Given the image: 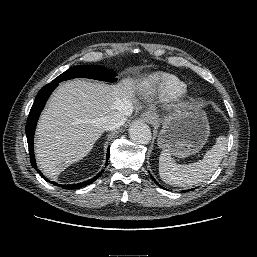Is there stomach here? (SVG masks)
I'll return each instance as SVG.
<instances>
[{"label": "stomach", "mask_w": 257, "mask_h": 257, "mask_svg": "<svg viewBox=\"0 0 257 257\" xmlns=\"http://www.w3.org/2000/svg\"><path fill=\"white\" fill-rule=\"evenodd\" d=\"M161 122L158 146L178 158H186L199 152L209 137L208 119L201 109L172 113Z\"/></svg>", "instance_id": "stomach-1"}]
</instances>
